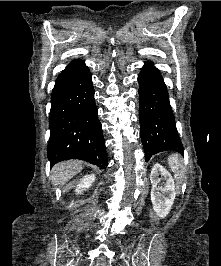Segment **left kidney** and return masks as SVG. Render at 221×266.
Segmentation results:
<instances>
[{
	"instance_id": "obj_1",
	"label": "left kidney",
	"mask_w": 221,
	"mask_h": 266,
	"mask_svg": "<svg viewBox=\"0 0 221 266\" xmlns=\"http://www.w3.org/2000/svg\"><path fill=\"white\" fill-rule=\"evenodd\" d=\"M159 175H161V178H159ZM150 180L152 184L151 201L153 209L160 218H164L171 210L175 199L174 180L171 174L159 163L153 166ZM159 183H161V186L158 185Z\"/></svg>"
}]
</instances>
